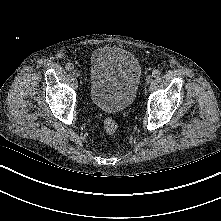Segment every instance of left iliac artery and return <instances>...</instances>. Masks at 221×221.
Listing matches in <instances>:
<instances>
[{"instance_id":"44dca946","label":"left iliac artery","mask_w":221,"mask_h":221,"mask_svg":"<svg viewBox=\"0 0 221 221\" xmlns=\"http://www.w3.org/2000/svg\"><path fill=\"white\" fill-rule=\"evenodd\" d=\"M160 74H161V72H160L159 70H154V71L152 72V76L155 77V78L159 77Z\"/></svg>"}]
</instances>
